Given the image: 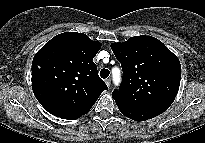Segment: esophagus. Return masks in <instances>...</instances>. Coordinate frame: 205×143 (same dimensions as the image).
Segmentation results:
<instances>
[{"mask_svg": "<svg viewBox=\"0 0 205 143\" xmlns=\"http://www.w3.org/2000/svg\"><path fill=\"white\" fill-rule=\"evenodd\" d=\"M105 83H106V85L108 86V87H110V85H111V79H106L105 80Z\"/></svg>", "mask_w": 205, "mask_h": 143, "instance_id": "esophagus-1", "label": "esophagus"}]
</instances>
